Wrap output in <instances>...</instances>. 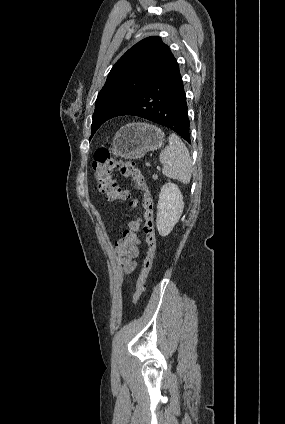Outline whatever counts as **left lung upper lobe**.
<instances>
[{"label": "left lung upper lobe", "instance_id": "5c2ea615", "mask_svg": "<svg viewBox=\"0 0 285 424\" xmlns=\"http://www.w3.org/2000/svg\"><path fill=\"white\" fill-rule=\"evenodd\" d=\"M172 56L161 38L151 36L139 41L116 62L97 96L90 139L114 111L159 76Z\"/></svg>", "mask_w": 285, "mask_h": 424}]
</instances>
